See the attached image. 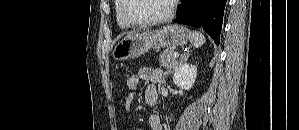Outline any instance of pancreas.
Returning a JSON list of instances; mask_svg holds the SVG:
<instances>
[{
	"label": "pancreas",
	"mask_w": 299,
	"mask_h": 130,
	"mask_svg": "<svg viewBox=\"0 0 299 130\" xmlns=\"http://www.w3.org/2000/svg\"><path fill=\"white\" fill-rule=\"evenodd\" d=\"M173 50H165L159 55V64L168 69V71L174 70L178 65L176 57H173Z\"/></svg>",
	"instance_id": "1"
}]
</instances>
